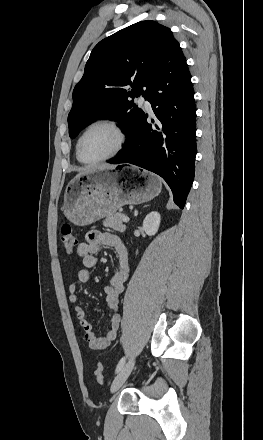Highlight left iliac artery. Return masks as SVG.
I'll use <instances>...</instances> for the list:
<instances>
[{
  "mask_svg": "<svg viewBox=\"0 0 263 440\" xmlns=\"http://www.w3.org/2000/svg\"><path fill=\"white\" fill-rule=\"evenodd\" d=\"M124 363H125V358L123 357V358H121V360L119 361V363L116 367V373L120 371V369L123 367Z\"/></svg>",
  "mask_w": 263,
  "mask_h": 440,
  "instance_id": "obj_1",
  "label": "left iliac artery"
}]
</instances>
